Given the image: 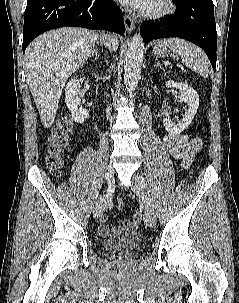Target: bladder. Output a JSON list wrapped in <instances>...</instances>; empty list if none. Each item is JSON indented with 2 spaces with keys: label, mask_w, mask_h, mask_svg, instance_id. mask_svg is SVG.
<instances>
[{
  "label": "bladder",
  "mask_w": 239,
  "mask_h": 303,
  "mask_svg": "<svg viewBox=\"0 0 239 303\" xmlns=\"http://www.w3.org/2000/svg\"><path fill=\"white\" fill-rule=\"evenodd\" d=\"M142 239L139 233H126L104 240L103 248L108 252H134L140 248Z\"/></svg>",
  "instance_id": "obj_1"
}]
</instances>
